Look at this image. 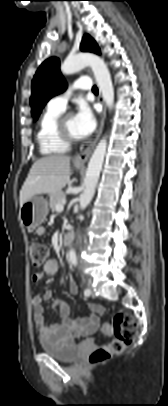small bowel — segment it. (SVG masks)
<instances>
[{
	"label": "small bowel",
	"mask_w": 168,
	"mask_h": 406,
	"mask_svg": "<svg viewBox=\"0 0 168 406\" xmlns=\"http://www.w3.org/2000/svg\"><path fill=\"white\" fill-rule=\"evenodd\" d=\"M36 233L38 236H45L47 229L43 226L39 227ZM57 269L58 266L55 260L48 261L41 272L32 275V280L39 282L44 276H53L56 274ZM69 291L72 294L78 292V286L73 277L69 278ZM52 296V292L47 291L43 296L37 295L32 299L33 319L45 340L59 345H72L76 336H88L99 329L100 316L104 312L101 305L90 303L89 308L92 312L90 316L72 318L69 305L61 299H56L52 303V308L58 311L59 321L48 324L45 318L43 302L50 300Z\"/></svg>",
	"instance_id": "small-bowel-1"
}]
</instances>
